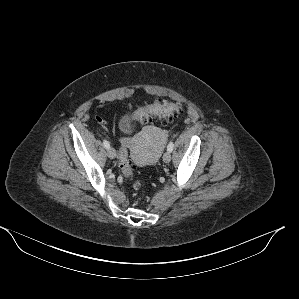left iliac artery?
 I'll return each instance as SVG.
<instances>
[{"label":"left iliac artery","instance_id":"1","mask_svg":"<svg viewBox=\"0 0 299 299\" xmlns=\"http://www.w3.org/2000/svg\"><path fill=\"white\" fill-rule=\"evenodd\" d=\"M173 148H174V144H173V142H170L167 146V151L172 152Z\"/></svg>","mask_w":299,"mask_h":299}]
</instances>
